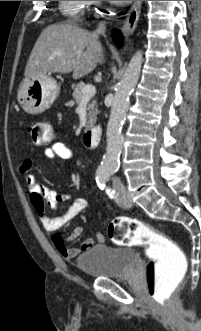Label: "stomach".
Returning a JSON list of instances; mask_svg holds the SVG:
<instances>
[{"label":"stomach","mask_w":201,"mask_h":331,"mask_svg":"<svg viewBox=\"0 0 201 331\" xmlns=\"http://www.w3.org/2000/svg\"><path fill=\"white\" fill-rule=\"evenodd\" d=\"M58 94V84L50 76L26 77L19 86L17 99L25 112L36 115L49 109Z\"/></svg>","instance_id":"0dacf381"}]
</instances>
